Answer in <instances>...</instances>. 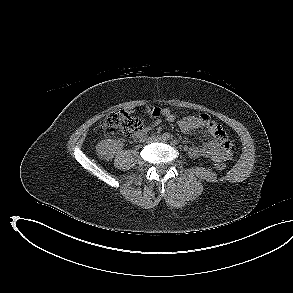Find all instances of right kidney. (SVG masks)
Here are the masks:
<instances>
[{
  "label": "right kidney",
  "mask_w": 293,
  "mask_h": 293,
  "mask_svg": "<svg viewBox=\"0 0 293 293\" xmlns=\"http://www.w3.org/2000/svg\"><path fill=\"white\" fill-rule=\"evenodd\" d=\"M120 144L116 140L106 139L100 141L96 146L97 155L106 161L112 160L116 153V149Z\"/></svg>",
  "instance_id": "right-kidney-1"
}]
</instances>
